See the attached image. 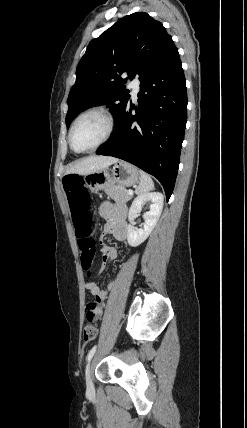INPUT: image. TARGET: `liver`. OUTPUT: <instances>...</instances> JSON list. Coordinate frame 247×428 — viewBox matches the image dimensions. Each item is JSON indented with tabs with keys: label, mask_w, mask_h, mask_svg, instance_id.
I'll return each mask as SVG.
<instances>
[{
	"label": "liver",
	"mask_w": 247,
	"mask_h": 428,
	"mask_svg": "<svg viewBox=\"0 0 247 428\" xmlns=\"http://www.w3.org/2000/svg\"><path fill=\"white\" fill-rule=\"evenodd\" d=\"M116 162H118V159L111 156H89L72 165L66 173L86 175Z\"/></svg>",
	"instance_id": "6515ba94"
}]
</instances>
